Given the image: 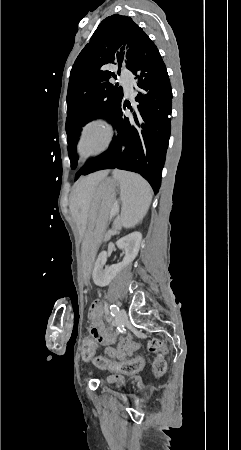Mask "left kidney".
Returning a JSON list of instances; mask_svg holds the SVG:
<instances>
[{
	"label": "left kidney",
	"mask_w": 241,
	"mask_h": 450,
	"mask_svg": "<svg viewBox=\"0 0 241 450\" xmlns=\"http://www.w3.org/2000/svg\"><path fill=\"white\" fill-rule=\"evenodd\" d=\"M141 242L142 234H140V232H132L129 236H124V238L118 240L116 246H118L120 250H125L123 262L115 264V266H106L105 270H103V268L107 262V252H101L95 262L92 274L94 284H96V286H101V288H103V286H108L111 280H114L115 276H117L125 266H129V264L135 260L140 250Z\"/></svg>",
	"instance_id": "obj_1"
}]
</instances>
